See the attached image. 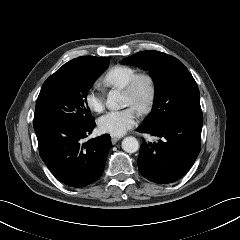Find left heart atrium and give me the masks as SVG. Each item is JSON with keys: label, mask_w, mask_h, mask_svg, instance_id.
Instances as JSON below:
<instances>
[{"label": "left heart atrium", "mask_w": 240, "mask_h": 240, "mask_svg": "<svg viewBox=\"0 0 240 240\" xmlns=\"http://www.w3.org/2000/svg\"><path fill=\"white\" fill-rule=\"evenodd\" d=\"M135 119L136 110L132 107L119 111H110L99 118L98 128L102 133L121 136L133 127Z\"/></svg>", "instance_id": "1"}]
</instances>
